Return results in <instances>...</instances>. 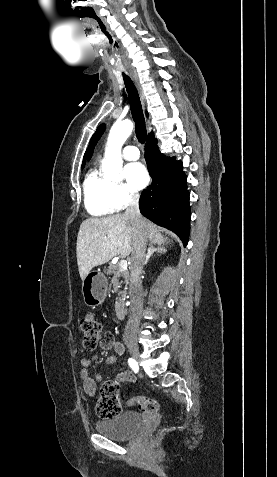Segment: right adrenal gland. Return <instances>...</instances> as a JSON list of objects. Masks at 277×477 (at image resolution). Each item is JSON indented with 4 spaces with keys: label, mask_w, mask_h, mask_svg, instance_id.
Wrapping results in <instances>:
<instances>
[{
    "label": "right adrenal gland",
    "mask_w": 277,
    "mask_h": 477,
    "mask_svg": "<svg viewBox=\"0 0 277 477\" xmlns=\"http://www.w3.org/2000/svg\"><path fill=\"white\" fill-rule=\"evenodd\" d=\"M153 244H154V242H151V244L149 245L144 264H147L148 260L150 259V257L153 254H161V253L166 251L165 248L163 246H161V244H158L157 247H154Z\"/></svg>",
    "instance_id": "1"
}]
</instances>
